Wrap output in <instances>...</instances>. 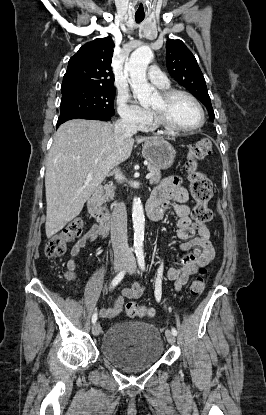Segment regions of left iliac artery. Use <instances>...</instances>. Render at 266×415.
<instances>
[{"instance_id":"44dca946","label":"left iliac artery","mask_w":266,"mask_h":415,"mask_svg":"<svg viewBox=\"0 0 266 415\" xmlns=\"http://www.w3.org/2000/svg\"><path fill=\"white\" fill-rule=\"evenodd\" d=\"M137 255V260H138V264L139 267L141 268V270H145V260H144V253L142 250L138 251L136 253ZM161 278H162V272L158 271V277L156 279V285H155V292L156 295H160L161 293ZM171 332L173 333L174 336L177 335V330L175 328H171Z\"/></svg>"}]
</instances>
